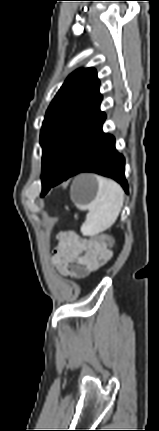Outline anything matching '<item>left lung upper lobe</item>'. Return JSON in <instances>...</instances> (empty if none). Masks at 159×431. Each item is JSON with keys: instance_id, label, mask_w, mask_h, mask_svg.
Wrapping results in <instances>:
<instances>
[{"instance_id": "left-lung-upper-lobe-1", "label": "left lung upper lobe", "mask_w": 159, "mask_h": 431, "mask_svg": "<svg viewBox=\"0 0 159 431\" xmlns=\"http://www.w3.org/2000/svg\"><path fill=\"white\" fill-rule=\"evenodd\" d=\"M101 101L94 68L78 69L63 83L46 112L40 134L42 192L57 175L76 136L104 115Z\"/></svg>"}]
</instances>
